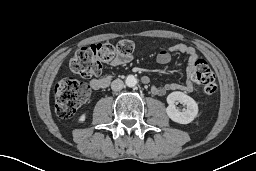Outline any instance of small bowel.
<instances>
[{"label":"small bowel","instance_id":"small-bowel-1","mask_svg":"<svg viewBox=\"0 0 256 171\" xmlns=\"http://www.w3.org/2000/svg\"><path fill=\"white\" fill-rule=\"evenodd\" d=\"M174 53L186 54L188 56V77L192 74L194 65L198 60V54L194 47L188 46L184 43H177L171 45L165 49H162L156 57V60L159 64H168ZM131 61V56H117L113 61H111L112 66H121L129 63ZM111 74H107L102 77H94L90 80V86L94 90H101L109 86L111 82ZM147 78V77H145ZM148 79V78H147ZM181 90L189 92L192 90V85L189 80L185 84L180 85L176 83H166L162 86L154 85L151 88V91L156 95H163L168 91Z\"/></svg>","mask_w":256,"mask_h":171}]
</instances>
